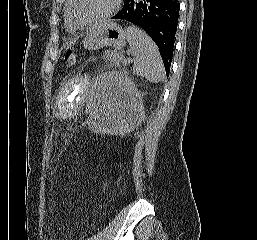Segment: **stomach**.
<instances>
[{
	"label": "stomach",
	"mask_w": 257,
	"mask_h": 240,
	"mask_svg": "<svg viewBox=\"0 0 257 240\" xmlns=\"http://www.w3.org/2000/svg\"><path fill=\"white\" fill-rule=\"evenodd\" d=\"M126 43V32L115 22L107 21L93 27L86 35L83 46L97 50L104 46L121 49Z\"/></svg>",
	"instance_id": "0dacf381"
}]
</instances>
